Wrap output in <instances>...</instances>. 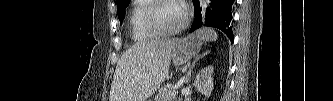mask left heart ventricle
<instances>
[{"label":"left heart ventricle","instance_id":"obj_1","mask_svg":"<svg viewBox=\"0 0 333 101\" xmlns=\"http://www.w3.org/2000/svg\"><path fill=\"white\" fill-rule=\"evenodd\" d=\"M183 18V9L174 2H166L156 11V20L162 30H171L179 25Z\"/></svg>","mask_w":333,"mask_h":101}]
</instances>
